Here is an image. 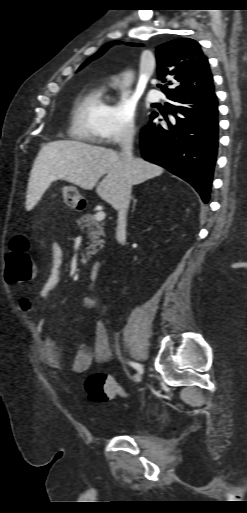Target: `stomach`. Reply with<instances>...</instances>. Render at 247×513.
Segmentation results:
<instances>
[{
	"instance_id": "stomach-1",
	"label": "stomach",
	"mask_w": 247,
	"mask_h": 513,
	"mask_svg": "<svg viewBox=\"0 0 247 513\" xmlns=\"http://www.w3.org/2000/svg\"><path fill=\"white\" fill-rule=\"evenodd\" d=\"M64 200L68 206L78 209L80 202L85 199L79 194L76 187L67 186L64 191Z\"/></svg>"
}]
</instances>
